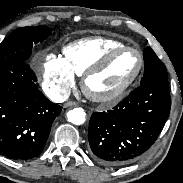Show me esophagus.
<instances>
[{"label": "esophagus", "mask_w": 183, "mask_h": 183, "mask_svg": "<svg viewBox=\"0 0 183 183\" xmlns=\"http://www.w3.org/2000/svg\"><path fill=\"white\" fill-rule=\"evenodd\" d=\"M75 106H77V103L74 102V101L66 102V103L63 105L64 108H67V107H75Z\"/></svg>", "instance_id": "1"}]
</instances>
